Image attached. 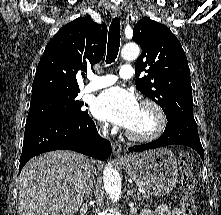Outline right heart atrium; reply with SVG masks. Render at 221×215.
I'll return each mask as SVG.
<instances>
[{
    "label": "right heart atrium",
    "instance_id": "1",
    "mask_svg": "<svg viewBox=\"0 0 221 215\" xmlns=\"http://www.w3.org/2000/svg\"><path fill=\"white\" fill-rule=\"evenodd\" d=\"M98 129H99V131L101 132V133H107L108 132V125L106 124V123H100L99 125H98Z\"/></svg>",
    "mask_w": 221,
    "mask_h": 215
}]
</instances>
